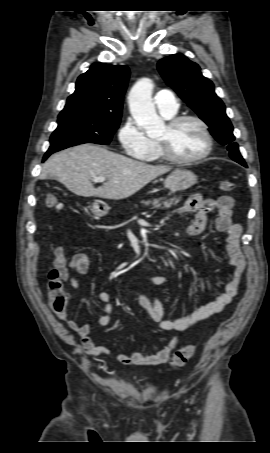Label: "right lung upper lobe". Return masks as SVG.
I'll return each mask as SVG.
<instances>
[{"instance_id":"right-lung-upper-lobe-1","label":"right lung upper lobe","mask_w":270,"mask_h":453,"mask_svg":"<svg viewBox=\"0 0 270 453\" xmlns=\"http://www.w3.org/2000/svg\"><path fill=\"white\" fill-rule=\"evenodd\" d=\"M129 68L122 65L94 63L80 75L74 93L68 97L59 117L77 113H97L120 117Z\"/></svg>"}]
</instances>
